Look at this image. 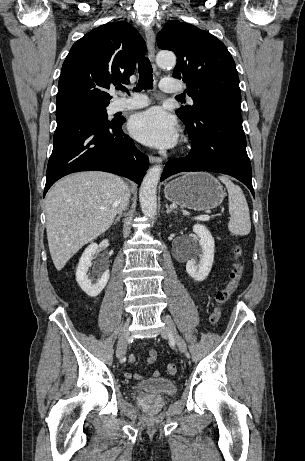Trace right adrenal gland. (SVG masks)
<instances>
[{
  "label": "right adrenal gland",
  "mask_w": 305,
  "mask_h": 461,
  "mask_svg": "<svg viewBox=\"0 0 305 461\" xmlns=\"http://www.w3.org/2000/svg\"><path fill=\"white\" fill-rule=\"evenodd\" d=\"M122 216H123L122 211H118V216L115 218L113 223L116 224L117 222H120Z\"/></svg>",
  "instance_id": "obj_1"
}]
</instances>
